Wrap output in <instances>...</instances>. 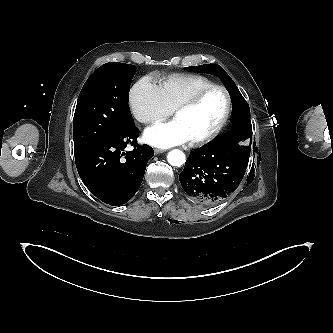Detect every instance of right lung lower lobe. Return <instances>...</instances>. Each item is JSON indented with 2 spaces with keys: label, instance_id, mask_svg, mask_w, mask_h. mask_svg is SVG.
<instances>
[{
  "label": "right lung lower lobe",
  "instance_id": "right-lung-lower-lobe-1",
  "mask_svg": "<svg viewBox=\"0 0 333 333\" xmlns=\"http://www.w3.org/2000/svg\"><path fill=\"white\" fill-rule=\"evenodd\" d=\"M139 130L133 124L119 136L100 142L75 156L80 178L88 190L106 204L128 202L139 189L153 149L137 144ZM128 144L134 149L124 152Z\"/></svg>",
  "mask_w": 333,
  "mask_h": 333
}]
</instances>
